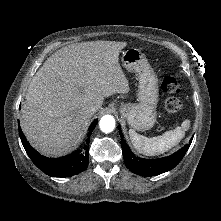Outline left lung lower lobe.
I'll return each instance as SVG.
<instances>
[{"mask_svg":"<svg viewBox=\"0 0 221 221\" xmlns=\"http://www.w3.org/2000/svg\"><path fill=\"white\" fill-rule=\"evenodd\" d=\"M121 135L122 153L126 167L133 173L141 176H155L173 169L184 157L190 147L192 139L184 147L170 156L158 159H144L135 156L123 139L120 126L118 127Z\"/></svg>","mask_w":221,"mask_h":221,"instance_id":"left-lung-lower-lobe-1","label":"left lung lower lobe"}]
</instances>
